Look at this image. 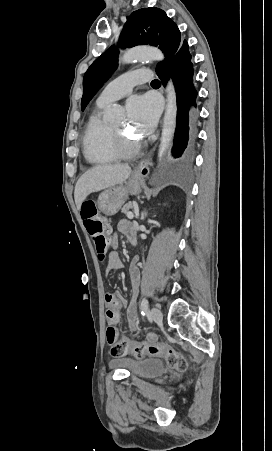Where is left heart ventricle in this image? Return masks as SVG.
I'll use <instances>...</instances> for the list:
<instances>
[{
  "instance_id": "obj_1",
  "label": "left heart ventricle",
  "mask_w": 272,
  "mask_h": 451,
  "mask_svg": "<svg viewBox=\"0 0 272 451\" xmlns=\"http://www.w3.org/2000/svg\"><path fill=\"white\" fill-rule=\"evenodd\" d=\"M113 128L117 131V132H122V127H123V121L112 125Z\"/></svg>"
}]
</instances>
